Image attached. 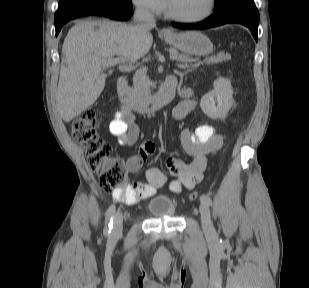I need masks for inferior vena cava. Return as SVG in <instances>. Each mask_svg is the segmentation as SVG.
I'll return each mask as SVG.
<instances>
[{
	"mask_svg": "<svg viewBox=\"0 0 309 288\" xmlns=\"http://www.w3.org/2000/svg\"><path fill=\"white\" fill-rule=\"evenodd\" d=\"M134 26L136 29H149L156 26L154 15L141 5H138L134 13Z\"/></svg>",
	"mask_w": 309,
	"mask_h": 288,
	"instance_id": "inferior-vena-cava-1",
	"label": "inferior vena cava"
}]
</instances>
